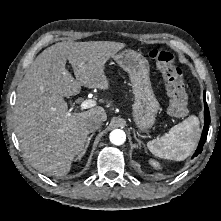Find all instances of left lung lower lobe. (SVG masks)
Returning a JSON list of instances; mask_svg holds the SVG:
<instances>
[{"label":"left lung lower lobe","instance_id":"obj_1","mask_svg":"<svg viewBox=\"0 0 221 221\" xmlns=\"http://www.w3.org/2000/svg\"><path fill=\"white\" fill-rule=\"evenodd\" d=\"M204 128H203V132H202V136L198 145V148L196 150V152L194 153V155L192 156V158H194L195 156H197L198 154H200L202 152L203 149V145L206 141L207 138V134H208V130H209V124H210V114H209V109L206 103V99H205V92H204Z\"/></svg>","mask_w":221,"mask_h":221}]
</instances>
